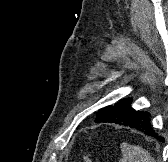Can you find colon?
<instances>
[{
  "label": "colon",
  "mask_w": 168,
  "mask_h": 162,
  "mask_svg": "<svg viewBox=\"0 0 168 162\" xmlns=\"http://www.w3.org/2000/svg\"><path fill=\"white\" fill-rule=\"evenodd\" d=\"M82 162H92V160L88 156H83Z\"/></svg>",
  "instance_id": "obj_1"
}]
</instances>
